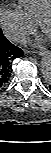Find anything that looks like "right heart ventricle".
Returning a JSON list of instances; mask_svg holds the SVG:
<instances>
[{"label": "right heart ventricle", "instance_id": "obj_1", "mask_svg": "<svg viewBox=\"0 0 51 153\" xmlns=\"http://www.w3.org/2000/svg\"><path fill=\"white\" fill-rule=\"evenodd\" d=\"M17 6L28 20L36 23L39 16L51 8V0H18Z\"/></svg>", "mask_w": 51, "mask_h": 153}]
</instances>
